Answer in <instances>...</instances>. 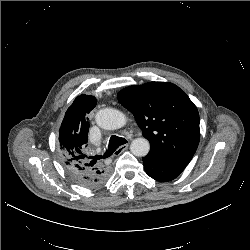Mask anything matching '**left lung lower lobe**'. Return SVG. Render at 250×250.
<instances>
[{
  "label": "left lung lower lobe",
  "mask_w": 250,
  "mask_h": 250,
  "mask_svg": "<svg viewBox=\"0 0 250 250\" xmlns=\"http://www.w3.org/2000/svg\"><path fill=\"white\" fill-rule=\"evenodd\" d=\"M146 173L160 182L171 181L176 178L186 167L185 164L168 163L151 155L143 157Z\"/></svg>",
  "instance_id": "1"
}]
</instances>
